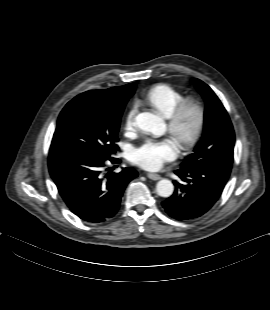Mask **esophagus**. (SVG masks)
I'll return each mask as SVG.
<instances>
[{"instance_id":"34e87169","label":"esophagus","mask_w":270,"mask_h":310,"mask_svg":"<svg viewBox=\"0 0 270 310\" xmlns=\"http://www.w3.org/2000/svg\"><path fill=\"white\" fill-rule=\"evenodd\" d=\"M147 177L151 180H159L161 179V176L156 173H147Z\"/></svg>"}]
</instances>
